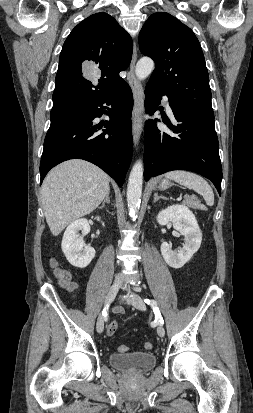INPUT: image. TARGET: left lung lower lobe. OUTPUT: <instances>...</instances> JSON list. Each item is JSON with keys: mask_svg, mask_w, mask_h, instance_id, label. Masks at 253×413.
Returning a JSON list of instances; mask_svg holds the SVG:
<instances>
[{"mask_svg": "<svg viewBox=\"0 0 253 413\" xmlns=\"http://www.w3.org/2000/svg\"><path fill=\"white\" fill-rule=\"evenodd\" d=\"M166 95L154 82L145 89V111L154 114L161 96ZM177 126L167 124L173 134L161 132L148 120L144 131V177L149 180L172 170H189L210 179L221 195L222 167L214 118L171 102Z\"/></svg>", "mask_w": 253, "mask_h": 413, "instance_id": "1", "label": "left lung lower lobe"}]
</instances>
